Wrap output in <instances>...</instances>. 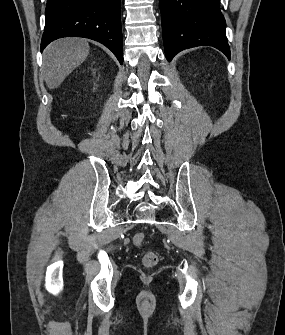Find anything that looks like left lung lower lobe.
<instances>
[{
  "label": "left lung lower lobe",
  "mask_w": 285,
  "mask_h": 335,
  "mask_svg": "<svg viewBox=\"0 0 285 335\" xmlns=\"http://www.w3.org/2000/svg\"><path fill=\"white\" fill-rule=\"evenodd\" d=\"M219 1L159 0L168 61L184 49L204 45L213 46L230 58Z\"/></svg>",
  "instance_id": "1"
}]
</instances>
